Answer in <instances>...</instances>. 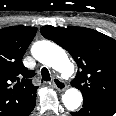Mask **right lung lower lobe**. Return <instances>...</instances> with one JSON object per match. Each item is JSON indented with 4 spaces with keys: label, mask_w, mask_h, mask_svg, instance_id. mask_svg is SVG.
Returning <instances> with one entry per match:
<instances>
[{
    "label": "right lung lower lobe",
    "mask_w": 116,
    "mask_h": 116,
    "mask_svg": "<svg viewBox=\"0 0 116 116\" xmlns=\"http://www.w3.org/2000/svg\"><path fill=\"white\" fill-rule=\"evenodd\" d=\"M33 109H34V108H33ZM33 109H32V110H33ZM32 110H31V111H32ZM31 111H30L26 116H29V114L31 113Z\"/></svg>",
    "instance_id": "98d812e1"
}]
</instances>
